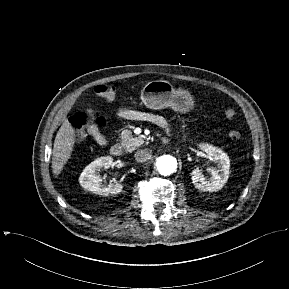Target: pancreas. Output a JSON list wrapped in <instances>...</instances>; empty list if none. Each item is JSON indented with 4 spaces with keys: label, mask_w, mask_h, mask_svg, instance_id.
Here are the masks:
<instances>
[{
    "label": "pancreas",
    "mask_w": 289,
    "mask_h": 289,
    "mask_svg": "<svg viewBox=\"0 0 289 289\" xmlns=\"http://www.w3.org/2000/svg\"><path fill=\"white\" fill-rule=\"evenodd\" d=\"M120 137L121 146L126 152H132L144 143V140L141 137H133L132 132L128 129L123 130Z\"/></svg>",
    "instance_id": "1"
}]
</instances>
